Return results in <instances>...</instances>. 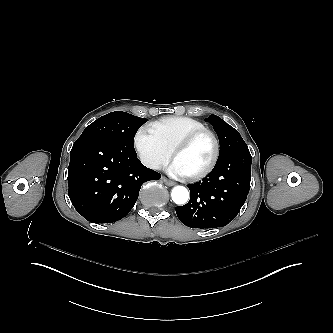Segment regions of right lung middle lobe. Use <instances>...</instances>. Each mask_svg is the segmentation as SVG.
<instances>
[{
	"label": "right lung middle lobe",
	"instance_id": "1",
	"mask_svg": "<svg viewBox=\"0 0 333 333\" xmlns=\"http://www.w3.org/2000/svg\"><path fill=\"white\" fill-rule=\"evenodd\" d=\"M147 121L122 111L104 115L87 126L81 137L93 134L108 138L126 150L134 152L133 140L137 130Z\"/></svg>",
	"mask_w": 333,
	"mask_h": 333
}]
</instances>
